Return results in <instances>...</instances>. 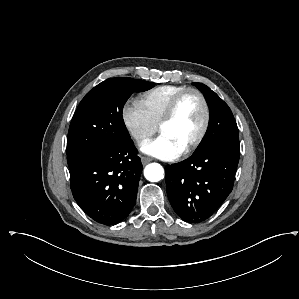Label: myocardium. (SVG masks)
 Instances as JSON below:
<instances>
[{
    "label": "myocardium",
    "mask_w": 299,
    "mask_h": 299,
    "mask_svg": "<svg viewBox=\"0 0 299 299\" xmlns=\"http://www.w3.org/2000/svg\"><path fill=\"white\" fill-rule=\"evenodd\" d=\"M189 94H195L200 99L202 106H203L204 117H203V122H202V125L200 127L198 134L183 149V151H182L183 154H189L194 149H196L201 144V142L203 141V139L207 133V130H208V127L210 124V108H209V104H208L207 99L205 98L204 94L195 88H186V89L182 90L180 93H178L173 98V100L167 107L163 117L161 118V120L158 124V131L160 132V130L163 126L167 125L174 119L181 101Z\"/></svg>",
    "instance_id": "obj_1"
}]
</instances>
